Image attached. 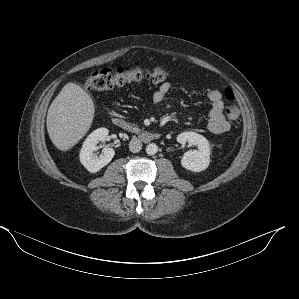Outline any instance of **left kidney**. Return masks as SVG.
<instances>
[{
  "instance_id": "left-kidney-1",
  "label": "left kidney",
  "mask_w": 299,
  "mask_h": 299,
  "mask_svg": "<svg viewBox=\"0 0 299 299\" xmlns=\"http://www.w3.org/2000/svg\"><path fill=\"white\" fill-rule=\"evenodd\" d=\"M177 142L180 144L189 143L196 146L197 150L185 152L181 165L192 172H201L208 168L210 164V145L209 141L196 132H182L177 136Z\"/></svg>"
}]
</instances>
